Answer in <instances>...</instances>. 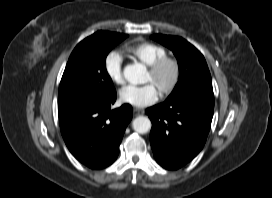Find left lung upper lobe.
<instances>
[{"label":"left lung upper lobe","instance_id":"5c2ea615","mask_svg":"<svg viewBox=\"0 0 272 198\" xmlns=\"http://www.w3.org/2000/svg\"><path fill=\"white\" fill-rule=\"evenodd\" d=\"M151 38L171 49L178 61V83L167 99L191 93L213 94L211 75L199 50L181 37L155 34Z\"/></svg>","mask_w":272,"mask_h":198}]
</instances>
